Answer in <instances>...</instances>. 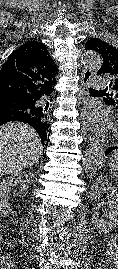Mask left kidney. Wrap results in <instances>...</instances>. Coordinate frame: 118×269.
Returning <instances> with one entry per match:
<instances>
[{"label": "left kidney", "instance_id": "left-kidney-1", "mask_svg": "<svg viewBox=\"0 0 118 269\" xmlns=\"http://www.w3.org/2000/svg\"><path fill=\"white\" fill-rule=\"evenodd\" d=\"M107 192L109 201L106 210V219L99 218L98 214L92 217V224L99 232L107 233L118 224V188L104 176H99L90 189L89 198L99 200L101 193Z\"/></svg>", "mask_w": 118, "mask_h": 269}]
</instances>
